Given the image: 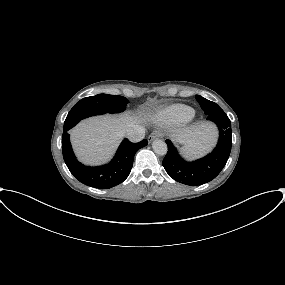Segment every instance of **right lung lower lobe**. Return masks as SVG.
I'll return each instance as SVG.
<instances>
[{
  "instance_id": "98d812e1",
  "label": "right lung lower lobe",
  "mask_w": 285,
  "mask_h": 285,
  "mask_svg": "<svg viewBox=\"0 0 285 285\" xmlns=\"http://www.w3.org/2000/svg\"><path fill=\"white\" fill-rule=\"evenodd\" d=\"M147 144L146 139L138 143L124 139L108 164L90 167L83 165L75 157L68 131H63L62 135L63 158L72 175L81 183L99 189H108L123 182L130 174L136 151Z\"/></svg>"
}]
</instances>
